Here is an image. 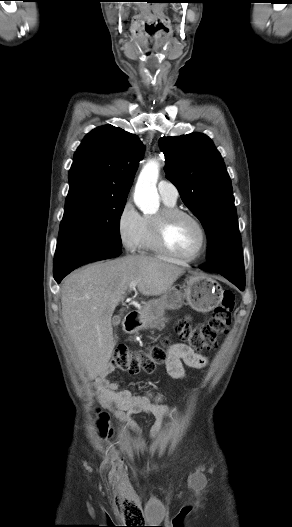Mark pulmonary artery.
<instances>
[{
  "instance_id": "1",
  "label": "pulmonary artery",
  "mask_w": 292,
  "mask_h": 527,
  "mask_svg": "<svg viewBox=\"0 0 292 527\" xmlns=\"http://www.w3.org/2000/svg\"><path fill=\"white\" fill-rule=\"evenodd\" d=\"M158 191L163 199L176 202L179 196L177 187L168 180H160L157 184Z\"/></svg>"
}]
</instances>
